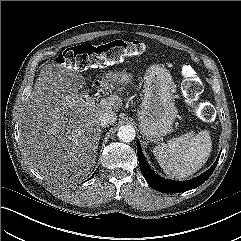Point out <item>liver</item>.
I'll use <instances>...</instances> for the list:
<instances>
[{
  "mask_svg": "<svg viewBox=\"0 0 241 241\" xmlns=\"http://www.w3.org/2000/svg\"><path fill=\"white\" fill-rule=\"evenodd\" d=\"M74 73L56 64L45 65L26 98L19 130L23 155L44 179L68 185L87 177L96 163L100 137L97 116L118 111L123 87L117 74H108L106 87L116 93L100 101L78 92Z\"/></svg>",
  "mask_w": 241,
  "mask_h": 241,
  "instance_id": "obj_1",
  "label": "liver"
}]
</instances>
